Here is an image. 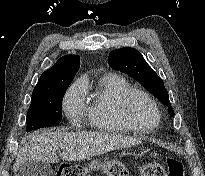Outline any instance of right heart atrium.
Segmentation results:
<instances>
[{
	"label": "right heart atrium",
	"mask_w": 205,
	"mask_h": 176,
	"mask_svg": "<svg viewBox=\"0 0 205 176\" xmlns=\"http://www.w3.org/2000/svg\"><path fill=\"white\" fill-rule=\"evenodd\" d=\"M62 108L72 123L78 122L85 115L87 108L82 80H77L68 88L62 101Z\"/></svg>",
	"instance_id": "right-heart-atrium-1"
}]
</instances>
